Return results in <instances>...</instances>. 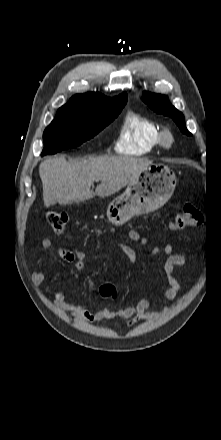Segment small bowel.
<instances>
[{
    "label": "small bowel",
    "mask_w": 221,
    "mask_h": 440,
    "mask_svg": "<svg viewBox=\"0 0 221 440\" xmlns=\"http://www.w3.org/2000/svg\"><path fill=\"white\" fill-rule=\"evenodd\" d=\"M130 240L139 244H146L147 239L140 235L137 230H130L128 233ZM42 247L49 249L53 247V242L49 239L42 241ZM116 247L127 258L131 266L136 264L138 255L141 252L136 251L132 247L124 243H118ZM56 252L59 257L69 263H73L79 270H84L87 267L86 255L84 252L64 247H56ZM165 260L163 263V271L168 286L160 290V295L167 300H174L181 292L182 288L174 275L176 267H183L187 264V260L184 255L174 253L172 246L166 244L163 249ZM148 253L150 255H158L160 248L155 246L151 248ZM44 257L41 256L37 260L36 269L32 273V277L35 282H42L44 274L42 272V266ZM54 305L70 314L71 317L77 320L86 321L89 323H98L105 320H111L115 318H124L127 320V325L131 326L138 321L147 320L151 318H157L161 314L167 312L169 307L163 308L160 312L150 313L149 310L152 307V302L148 299H141L135 305L129 306L123 309L111 310L107 307L100 308L96 312H91L86 305H75L67 301V293L64 289H58L54 295Z\"/></svg>",
    "instance_id": "1"
}]
</instances>
